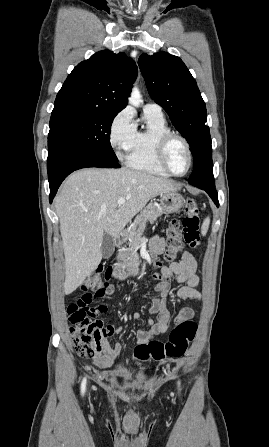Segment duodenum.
<instances>
[{"label":"duodenum","mask_w":269,"mask_h":447,"mask_svg":"<svg viewBox=\"0 0 269 447\" xmlns=\"http://www.w3.org/2000/svg\"><path fill=\"white\" fill-rule=\"evenodd\" d=\"M125 234V231H119L117 234V240H120ZM137 273V265L134 263L124 265L121 267H118L114 271V276L118 279H124L129 276H134Z\"/></svg>","instance_id":"1"}]
</instances>
